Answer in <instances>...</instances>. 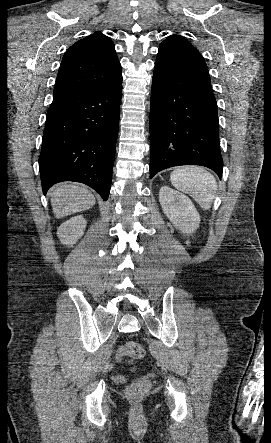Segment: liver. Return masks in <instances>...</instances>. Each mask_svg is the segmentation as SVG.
I'll use <instances>...</instances> for the list:
<instances>
[{
  "mask_svg": "<svg viewBox=\"0 0 271 443\" xmlns=\"http://www.w3.org/2000/svg\"><path fill=\"white\" fill-rule=\"evenodd\" d=\"M96 200L87 188H80L79 184H61L55 188L51 196V206L56 218L71 216L94 206Z\"/></svg>",
  "mask_w": 271,
  "mask_h": 443,
  "instance_id": "liver-1",
  "label": "liver"
}]
</instances>
